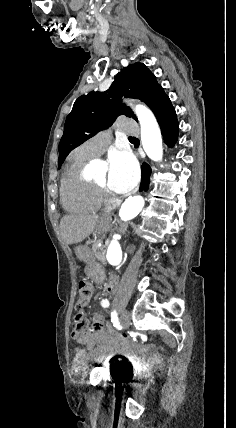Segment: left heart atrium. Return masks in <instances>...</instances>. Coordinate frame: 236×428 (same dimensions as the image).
<instances>
[{
  "label": "left heart atrium",
  "instance_id": "39dd6f15",
  "mask_svg": "<svg viewBox=\"0 0 236 428\" xmlns=\"http://www.w3.org/2000/svg\"><path fill=\"white\" fill-rule=\"evenodd\" d=\"M109 186L117 194L129 193L139 180L136 159L126 150L114 151L108 159Z\"/></svg>",
  "mask_w": 236,
  "mask_h": 428
}]
</instances>
